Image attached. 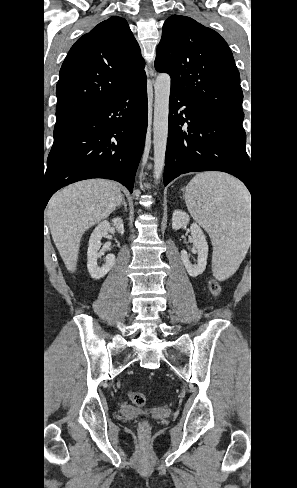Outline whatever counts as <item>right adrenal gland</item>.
Wrapping results in <instances>:
<instances>
[{"label":"right adrenal gland","instance_id":"right-adrenal-gland-1","mask_svg":"<svg viewBox=\"0 0 297 488\" xmlns=\"http://www.w3.org/2000/svg\"><path fill=\"white\" fill-rule=\"evenodd\" d=\"M121 206H124L125 211H127V204L124 197L122 198V202L117 206V208H121Z\"/></svg>","mask_w":297,"mask_h":488}]
</instances>
